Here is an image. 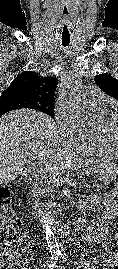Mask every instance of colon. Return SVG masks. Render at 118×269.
Listing matches in <instances>:
<instances>
[{
  "instance_id": "obj_1",
  "label": "colon",
  "mask_w": 118,
  "mask_h": 269,
  "mask_svg": "<svg viewBox=\"0 0 118 269\" xmlns=\"http://www.w3.org/2000/svg\"><path fill=\"white\" fill-rule=\"evenodd\" d=\"M12 192L0 186V219L6 220V236L0 252V269H21L29 259L30 241L22 233V223L14 216L11 206Z\"/></svg>"
}]
</instances>
